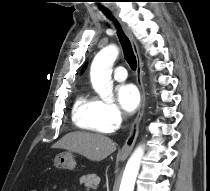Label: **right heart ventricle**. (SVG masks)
<instances>
[{"label": "right heart ventricle", "instance_id": "e07e8e85", "mask_svg": "<svg viewBox=\"0 0 210 191\" xmlns=\"http://www.w3.org/2000/svg\"><path fill=\"white\" fill-rule=\"evenodd\" d=\"M73 120L83 130L95 133H109L113 130L102 117L99 101L85 93L75 100Z\"/></svg>", "mask_w": 210, "mask_h": 191}]
</instances>
